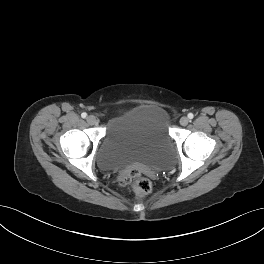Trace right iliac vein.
<instances>
[{
	"mask_svg": "<svg viewBox=\"0 0 264 264\" xmlns=\"http://www.w3.org/2000/svg\"><path fill=\"white\" fill-rule=\"evenodd\" d=\"M86 120H87L88 124H90V125H94L97 123V119L93 115L88 116Z\"/></svg>",
	"mask_w": 264,
	"mask_h": 264,
	"instance_id": "right-iliac-vein-1",
	"label": "right iliac vein"
}]
</instances>
